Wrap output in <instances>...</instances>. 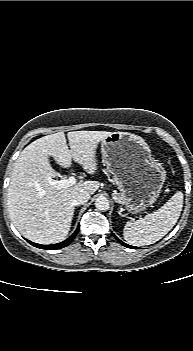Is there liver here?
Returning <instances> with one entry per match:
<instances>
[{
  "label": "liver",
  "mask_w": 193,
  "mask_h": 351,
  "mask_svg": "<svg viewBox=\"0 0 193 351\" xmlns=\"http://www.w3.org/2000/svg\"><path fill=\"white\" fill-rule=\"evenodd\" d=\"M112 132L73 131L67 133L70 149L63 132L41 137L20 153L14 163L7 191L10 218L17 230L27 239L40 244H54L66 238L75 210V197L86 191L94 194L97 181L78 182L57 189L49 181L58 176L49 157L63 168L72 159L88 174L98 169L97 148Z\"/></svg>",
  "instance_id": "6515ba94"
}]
</instances>
